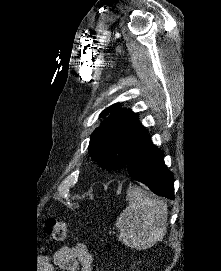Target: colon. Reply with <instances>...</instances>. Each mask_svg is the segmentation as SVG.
I'll return each mask as SVG.
<instances>
[{
  "instance_id": "colon-1",
  "label": "colon",
  "mask_w": 221,
  "mask_h": 271,
  "mask_svg": "<svg viewBox=\"0 0 221 271\" xmlns=\"http://www.w3.org/2000/svg\"><path fill=\"white\" fill-rule=\"evenodd\" d=\"M46 229L50 232L55 242H63L66 239L67 226L64 221L48 218L46 221Z\"/></svg>"
}]
</instances>
